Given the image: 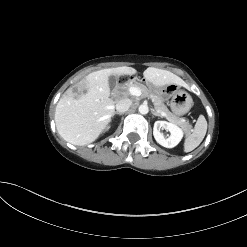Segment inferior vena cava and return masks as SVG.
Segmentation results:
<instances>
[{"instance_id":"1","label":"inferior vena cava","mask_w":247,"mask_h":247,"mask_svg":"<svg viewBox=\"0 0 247 247\" xmlns=\"http://www.w3.org/2000/svg\"><path fill=\"white\" fill-rule=\"evenodd\" d=\"M132 104V101L128 98L121 99L116 103V110L119 113L126 112Z\"/></svg>"}]
</instances>
